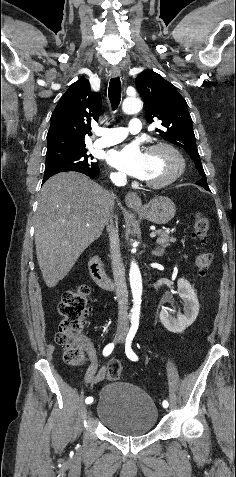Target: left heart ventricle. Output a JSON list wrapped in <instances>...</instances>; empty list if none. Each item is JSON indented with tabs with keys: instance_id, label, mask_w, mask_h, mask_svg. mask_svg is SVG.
I'll return each mask as SVG.
<instances>
[{
	"instance_id": "1",
	"label": "left heart ventricle",
	"mask_w": 236,
	"mask_h": 477,
	"mask_svg": "<svg viewBox=\"0 0 236 477\" xmlns=\"http://www.w3.org/2000/svg\"><path fill=\"white\" fill-rule=\"evenodd\" d=\"M177 168L176 160L165 150L147 153V169L145 180L160 181L166 179Z\"/></svg>"
}]
</instances>
